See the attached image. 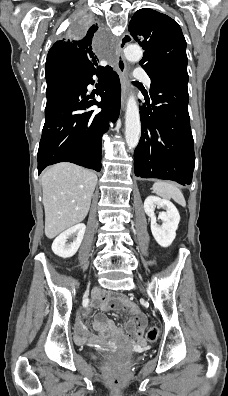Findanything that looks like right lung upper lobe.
Here are the masks:
<instances>
[{
  "label": "right lung upper lobe",
  "mask_w": 228,
  "mask_h": 396,
  "mask_svg": "<svg viewBox=\"0 0 228 396\" xmlns=\"http://www.w3.org/2000/svg\"><path fill=\"white\" fill-rule=\"evenodd\" d=\"M97 28V26H92L83 38L54 43L48 52L46 73L69 70L77 74L84 70L100 72L112 69L110 66L102 67L97 64V56L92 47Z\"/></svg>",
  "instance_id": "1"
}]
</instances>
